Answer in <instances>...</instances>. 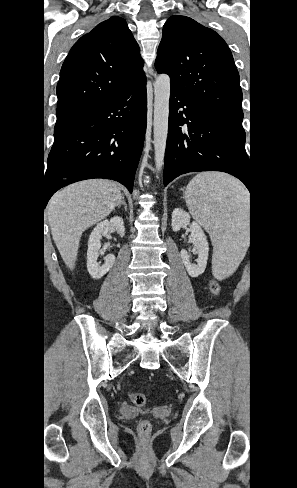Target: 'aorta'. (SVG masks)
I'll return each instance as SVG.
<instances>
[{"label": "aorta", "instance_id": "aorta-1", "mask_svg": "<svg viewBox=\"0 0 297 488\" xmlns=\"http://www.w3.org/2000/svg\"><path fill=\"white\" fill-rule=\"evenodd\" d=\"M154 150L155 165L158 172L164 165L168 135L170 77L161 74L154 83Z\"/></svg>", "mask_w": 297, "mask_h": 488}]
</instances>
